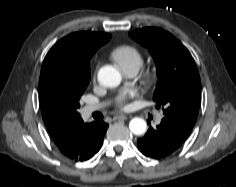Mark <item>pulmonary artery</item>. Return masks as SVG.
<instances>
[{
    "label": "pulmonary artery",
    "mask_w": 236,
    "mask_h": 187,
    "mask_svg": "<svg viewBox=\"0 0 236 187\" xmlns=\"http://www.w3.org/2000/svg\"><path fill=\"white\" fill-rule=\"evenodd\" d=\"M136 74V72H130L128 73V76L132 77ZM99 108H101V105H87L83 108V114L85 117H88L89 115H91L94 111L98 110ZM163 118V114L160 113L157 115L156 118V122L160 123L161 120Z\"/></svg>",
    "instance_id": "obj_1"
}]
</instances>
